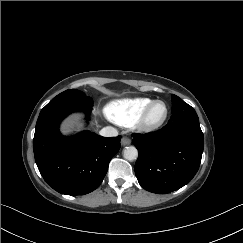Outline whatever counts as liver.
<instances>
[{"mask_svg":"<svg viewBox=\"0 0 243 243\" xmlns=\"http://www.w3.org/2000/svg\"><path fill=\"white\" fill-rule=\"evenodd\" d=\"M79 117L77 115H73L71 117H69L68 119H66L61 127V131L63 134H68L70 132H72V130L74 129H78L80 130V125H79Z\"/></svg>","mask_w":243,"mask_h":243,"instance_id":"liver-1","label":"liver"}]
</instances>
